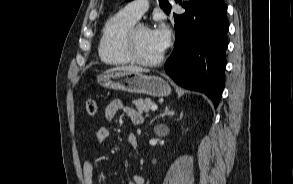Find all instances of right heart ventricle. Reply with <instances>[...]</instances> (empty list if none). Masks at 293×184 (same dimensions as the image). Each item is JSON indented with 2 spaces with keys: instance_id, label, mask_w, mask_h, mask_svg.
I'll return each mask as SVG.
<instances>
[{
  "instance_id": "e07e8e85",
  "label": "right heart ventricle",
  "mask_w": 293,
  "mask_h": 184,
  "mask_svg": "<svg viewBox=\"0 0 293 184\" xmlns=\"http://www.w3.org/2000/svg\"><path fill=\"white\" fill-rule=\"evenodd\" d=\"M136 21L124 11L116 13L107 20L98 46L99 57L104 63L125 65L132 62L125 49V39L128 30Z\"/></svg>"
}]
</instances>
